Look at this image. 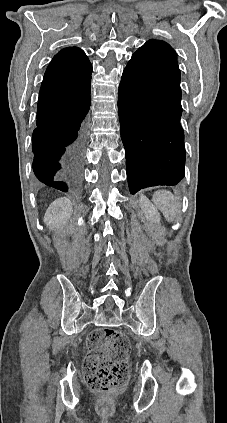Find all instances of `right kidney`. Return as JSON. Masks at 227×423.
<instances>
[{
    "mask_svg": "<svg viewBox=\"0 0 227 423\" xmlns=\"http://www.w3.org/2000/svg\"><path fill=\"white\" fill-rule=\"evenodd\" d=\"M72 202L68 198H58L50 204L44 215V223L49 229L66 225L72 215Z\"/></svg>",
    "mask_w": 227,
    "mask_h": 423,
    "instance_id": "1",
    "label": "right kidney"
}]
</instances>
